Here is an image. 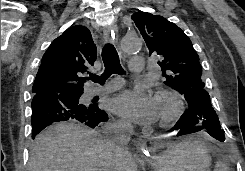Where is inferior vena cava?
I'll return each mask as SVG.
<instances>
[{"mask_svg":"<svg viewBox=\"0 0 245 171\" xmlns=\"http://www.w3.org/2000/svg\"><path fill=\"white\" fill-rule=\"evenodd\" d=\"M132 125L128 122H119L118 124H108L103 131L108 139L106 144L111 148L117 157H124L127 154V144L130 141V134L132 132ZM103 171H116V168L110 162H107Z\"/></svg>","mask_w":245,"mask_h":171,"instance_id":"1","label":"inferior vena cava"}]
</instances>
